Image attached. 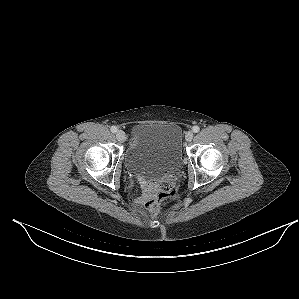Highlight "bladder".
<instances>
[{"label": "bladder", "mask_w": 299, "mask_h": 299, "mask_svg": "<svg viewBox=\"0 0 299 299\" xmlns=\"http://www.w3.org/2000/svg\"><path fill=\"white\" fill-rule=\"evenodd\" d=\"M127 168L148 178L177 172L182 165V131L176 124L142 123L133 130L125 154Z\"/></svg>", "instance_id": "31cf9c89"}]
</instances>
